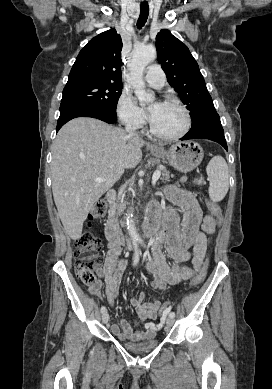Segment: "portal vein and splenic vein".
Listing matches in <instances>:
<instances>
[{
  "label": "portal vein and splenic vein",
  "instance_id": "1",
  "mask_svg": "<svg viewBox=\"0 0 272 389\" xmlns=\"http://www.w3.org/2000/svg\"><path fill=\"white\" fill-rule=\"evenodd\" d=\"M161 176V172L159 170L155 171L153 176H152V184L155 185L156 182L158 181V179L160 178ZM96 182H103L104 179L103 178H97L95 180Z\"/></svg>",
  "mask_w": 272,
  "mask_h": 389
}]
</instances>
